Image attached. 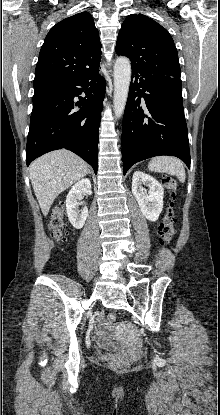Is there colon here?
<instances>
[{
	"instance_id": "colon-1",
	"label": "colon",
	"mask_w": 220,
	"mask_h": 415,
	"mask_svg": "<svg viewBox=\"0 0 220 415\" xmlns=\"http://www.w3.org/2000/svg\"><path fill=\"white\" fill-rule=\"evenodd\" d=\"M163 184L171 194L175 193L177 189V183L174 179L167 177L163 180ZM173 206V199H170L164 217L159 224V235L162 241L165 243L171 241L175 232L174 225L176 220L174 216ZM50 231L51 236L56 241H64L68 236L69 228L65 221L64 208L62 206H58L52 211L50 219ZM107 320L109 323H114L117 320V312H108ZM110 366L116 370H124L129 367V362L124 359L116 358L110 362Z\"/></svg>"
}]
</instances>
